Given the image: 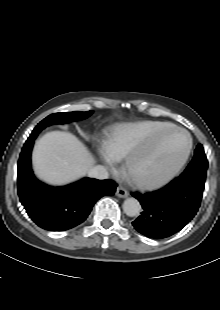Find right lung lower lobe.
<instances>
[{
	"instance_id": "98d812e1",
	"label": "right lung lower lobe",
	"mask_w": 220,
	"mask_h": 310,
	"mask_svg": "<svg viewBox=\"0 0 220 310\" xmlns=\"http://www.w3.org/2000/svg\"><path fill=\"white\" fill-rule=\"evenodd\" d=\"M37 135H30L19 157L17 189L20 201L39 227L49 231L69 230L86 220L98 199L112 196L117 184L112 180L90 178L65 187H51L40 182L33 175L30 158Z\"/></svg>"
}]
</instances>
